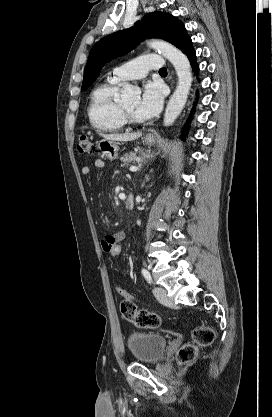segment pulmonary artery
<instances>
[{
  "mask_svg": "<svg viewBox=\"0 0 272 417\" xmlns=\"http://www.w3.org/2000/svg\"><path fill=\"white\" fill-rule=\"evenodd\" d=\"M164 66L163 58L157 54H146L135 58L111 72V78L123 82L127 80L141 79L150 70H160Z\"/></svg>",
  "mask_w": 272,
  "mask_h": 417,
  "instance_id": "pulmonary-artery-1",
  "label": "pulmonary artery"
}]
</instances>
